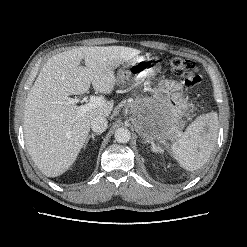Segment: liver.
<instances>
[{"label": "liver", "mask_w": 247, "mask_h": 247, "mask_svg": "<svg viewBox=\"0 0 247 247\" xmlns=\"http://www.w3.org/2000/svg\"><path fill=\"white\" fill-rule=\"evenodd\" d=\"M140 54L124 46L77 47L47 60L30 89L24 109V138L27 150L43 174L56 177L77 159L97 116L108 117L114 103L80 113L68 101L70 95L86 93L90 85L96 92L110 94L120 64ZM84 59L85 66H80Z\"/></svg>", "instance_id": "6515ba94"}]
</instances>
